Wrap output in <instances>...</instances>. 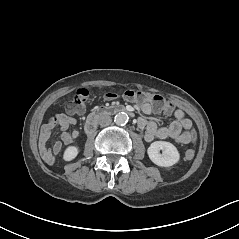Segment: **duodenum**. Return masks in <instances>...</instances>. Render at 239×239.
Masks as SVG:
<instances>
[{"instance_id":"410a0bca","label":"duodenum","mask_w":239,"mask_h":239,"mask_svg":"<svg viewBox=\"0 0 239 239\" xmlns=\"http://www.w3.org/2000/svg\"><path fill=\"white\" fill-rule=\"evenodd\" d=\"M117 113H127L130 116L133 115L132 112H130L126 107L122 105L98 107L88 115L84 128L85 132L88 134L92 133L95 130L98 121L102 117Z\"/></svg>"}]
</instances>
